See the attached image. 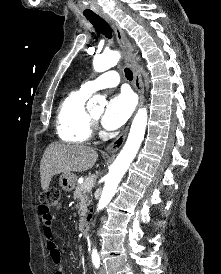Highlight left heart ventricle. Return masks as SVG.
Masks as SVG:
<instances>
[{
    "mask_svg": "<svg viewBox=\"0 0 221 274\" xmlns=\"http://www.w3.org/2000/svg\"><path fill=\"white\" fill-rule=\"evenodd\" d=\"M95 118H98L101 115V111L95 112L92 114Z\"/></svg>",
    "mask_w": 221,
    "mask_h": 274,
    "instance_id": "left-heart-ventricle-1",
    "label": "left heart ventricle"
}]
</instances>
